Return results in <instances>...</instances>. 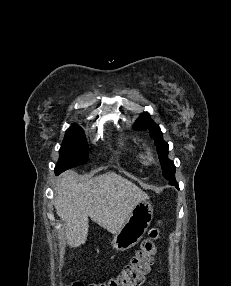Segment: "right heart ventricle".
<instances>
[{
    "instance_id": "1",
    "label": "right heart ventricle",
    "mask_w": 231,
    "mask_h": 286,
    "mask_svg": "<svg viewBox=\"0 0 231 286\" xmlns=\"http://www.w3.org/2000/svg\"><path fill=\"white\" fill-rule=\"evenodd\" d=\"M135 156L137 157V159L142 160L143 159V155L141 153H136Z\"/></svg>"
}]
</instances>
